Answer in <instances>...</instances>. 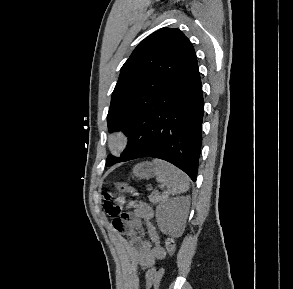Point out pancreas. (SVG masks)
Instances as JSON below:
<instances>
[{"label":"pancreas","mask_w":293,"mask_h":289,"mask_svg":"<svg viewBox=\"0 0 293 289\" xmlns=\"http://www.w3.org/2000/svg\"><path fill=\"white\" fill-rule=\"evenodd\" d=\"M148 198L152 203H159L164 199V197L160 195L158 191L152 192V194Z\"/></svg>","instance_id":"pancreas-1"}]
</instances>
